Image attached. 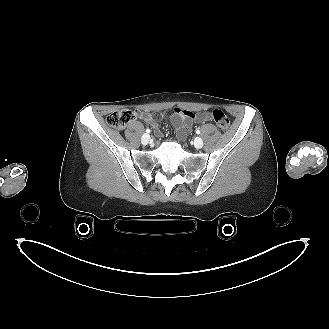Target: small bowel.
Returning <instances> with one entry per match:
<instances>
[{"label":"small bowel","mask_w":329,"mask_h":329,"mask_svg":"<svg viewBox=\"0 0 329 329\" xmlns=\"http://www.w3.org/2000/svg\"><path fill=\"white\" fill-rule=\"evenodd\" d=\"M161 118L168 116L171 123L176 129L178 138L184 139L187 133L190 131L194 123H205L208 121V117L203 114H196L190 111L181 110L179 108H173L168 113L163 112L159 115ZM147 123L151 124L155 134L160 137L162 131L153 115L150 113L140 114Z\"/></svg>","instance_id":"1"}]
</instances>
